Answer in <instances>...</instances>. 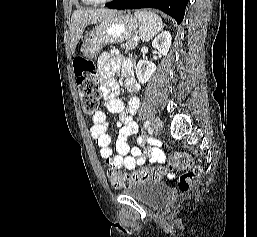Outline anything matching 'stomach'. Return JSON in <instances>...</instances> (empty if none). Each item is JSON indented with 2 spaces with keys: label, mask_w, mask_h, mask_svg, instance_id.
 Wrapping results in <instances>:
<instances>
[{
  "label": "stomach",
  "mask_w": 257,
  "mask_h": 237,
  "mask_svg": "<svg viewBox=\"0 0 257 237\" xmlns=\"http://www.w3.org/2000/svg\"><path fill=\"white\" fill-rule=\"evenodd\" d=\"M139 27L138 20L130 14L116 13L99 22L83 38V56L94 58L105 45L129 40Z\"/></svg>",
  "instance_id": "1"
}]
</instances>
